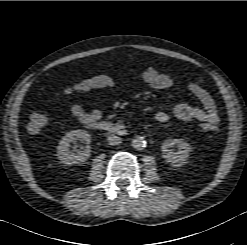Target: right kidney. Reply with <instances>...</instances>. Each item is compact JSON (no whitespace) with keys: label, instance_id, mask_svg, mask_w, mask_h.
<instances>
[{"label":"right kidney","instance_id":"ca27d5eb","mask_svg":"<svg viewBox=\"0 0 247 245\" xmlns=\"http://www.w3.org/2000/svg\"><path fill=\"white\" fill-rule=\"evenodd\" d=\"M90 134L85 130H73L62 137L57 147V156L61 163L71 165L85 162L91 155L89 148ZM79 140L87 144L84 150L71 152L70 143Z\"/></svg>","mask_w":247,"mask_h":245}]
</instances>
